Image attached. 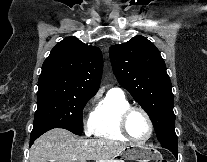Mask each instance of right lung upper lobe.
I'll list each match as a JSON object with an SVG mask.
<instances>
[{
    "mask_svg": "<svg viewBox=\"0 0 207 162\" xmlns=\"http://www.w3.org/2000/svg\"><path fill=\"white\" fill-rule=\"evenodd\" d=\"M103 69L102 53L76 37H67L51 51L42 66L38 88H54L93 96Z\"/></svg>",
    "mask_w": 207,
    "mask_h": 162,
    "instance_id": "cb5924a9",
    "label": "right lung upper lobe"
}]
</instances>
